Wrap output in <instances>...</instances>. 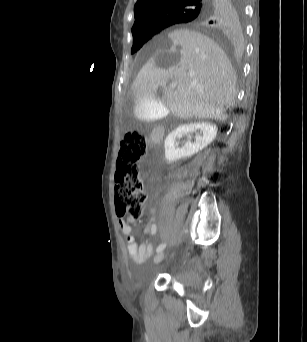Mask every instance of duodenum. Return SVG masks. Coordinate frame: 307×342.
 I'll list each match as a JSON object with an SVG mask.
<instances>
[{"mask_svg": "<svg viewBox=\"0 0 307 342\" xmlns=\"http://www.w3.org/2000/svg\"><path fill=\"white\" fill-rule=\"evenodd\" d=\"M163 128L162 127H157L156 129L153 130L151 134V142L153 145H157L163 138Z\"/></svg>", "mask_w": 307, "mask_h": 342, "instance_id": "obj_1", "label": "duodenum"}]
</instances>
